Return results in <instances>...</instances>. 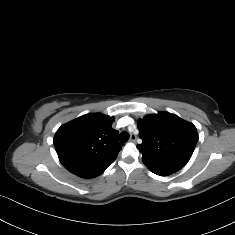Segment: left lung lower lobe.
Returning a JSON list of instances; mask_svg holds the SVG:
<instances>
[{
  "instance_id": "left-lung-lower-lobe-1",
  "label": "left lung lower lobe",
  "mask_w": 235,
  "mask_h": 235,
  "mask_svg": "<svg viewBox=\"0 0 235 235\" xmlns=\"http://www.w3.org/2000/svg\"><path fill=\"white\" fill-rule=\"evenodd\" d=\"M142 160L151 172L160 176L171 175L183 167L175 163L164 162L154 158L142 157Z\"/></svg>"
}]
</instances>
